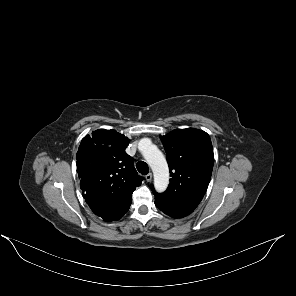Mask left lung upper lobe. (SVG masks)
I'll list each match as a JSON object with an SVG mask.
<instances>
[{"label": "left lung upper lobe", "mask_w": 296, "mask_h": 296, "mask_svg": "<svg viewBox=\"0 0 296 296\" xmlns=\"http://www.w3.org/2000/svg\"><path fill=\"white\" fill-rule=\"evenodd\" d=\"M169 165L170 184L155 201L166 208L193 211L206 193L214 154L209 135L195 128L176 129L160 137Z\"/></svg>", "instance_id": "obj_1"}]
</instances>
